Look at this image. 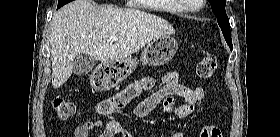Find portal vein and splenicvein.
I'll return each mask as SVG.
<instances>
[{"label":"portal vein and splenic vein","instance_id":"18ae733b","mask_svg":"<svg viewBox=\"0 0 280 137\" xmlns=\"http://www.w3.org/2000/svg\"><path fill=\"white\" fill-rule=\"evenodd\" d=\"M117 39H118L117 36H112V37L110 38V42L116 41Z\"/></svg>","mask_w":280,"mask_h":137}]
</instances>
